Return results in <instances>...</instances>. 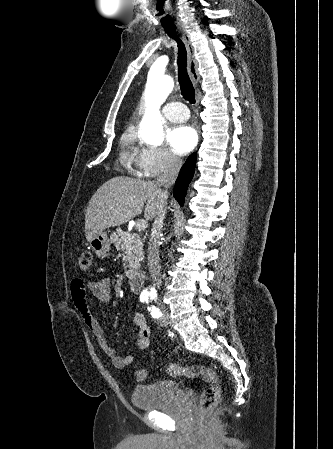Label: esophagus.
Instances as JSON below:
<instances>
[{
	"mask_svg": "<svg viewBox=\"0 0 333 449\" xmlns=\"http://www.w3.org/2000/svg\"><path fill=\"white\" fill-rule=\"evenodd\" d=\"M178 32H179V35L181 36V38L186 46L187 52H188V71H189L190 77H191L193 83L196 85L199 81V73H198V65H197V61L194 57L190 37H189L188 33L183 29H179Z\"/></svg>",
	"mask_w": 333,
	"mask_h": 449,
	"instance_id": "esophagus-1",
	"label": "esophagus"
}]
</instances>
